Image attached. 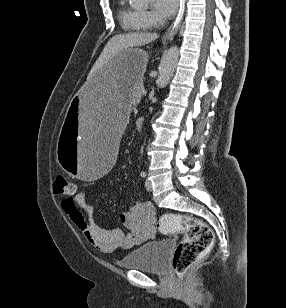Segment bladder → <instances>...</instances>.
Wrapping results in <instances>:
<instances>
[{"label": "bladder", "mask_w": 286, "mask_h": 308, "mask_svg": "<svg viewBox=\"0 0 286 308\" xmlns=\"http://www.w3.org/2000/svg\"><path fill=\"white\" fill-rule=\"evenodd\" d=\"M170 243L166 240L147 242L129 252L120 261L123 269L148 273H163L166 270Z\"/></svg>", "instance_id": "1"}]
</instances>
